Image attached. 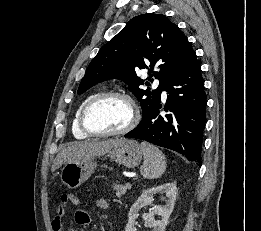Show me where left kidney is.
Here are the masks:
<instances>
[{"instance_id": "1", "label": "left kidney", "mask_w": 261, "mask_h": 231, "mask_svg": "<svg viewBox=\"0 0 261 231\" xmlns=\"http://www.w3.org/2000/svg\"><path fill=\"white\" fill-rule=\"evenodd\" d=\"M165 193L167 196V201L165 205H154V195L155 194H163ZM177 196V187L173 183H166L154 188H150L145 190L141 196L135 201V203L131 206L129 211V219L126 224L125 231H136L135 228V219L139 216L138 212L142 206L151 205V211L148 214L143 215V219L145 221V226L152 229V231H164L169 217L173 211L175 200ZM159 214L161 216V220H155L154 215Z\"/></svg>"}]
</instances>
